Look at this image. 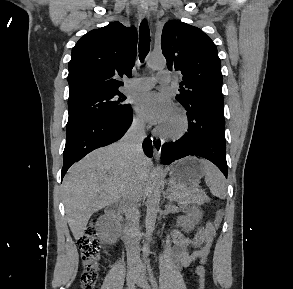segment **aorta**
Instances as JSON below:
<instances>
[{
	"label": "aorta",
	"instance_id": "obj_1",
	"mask_svg": "<svg viewBox=\"0 0 293 289\" xmlns=\"http://www.w3.org/2000/svg\"><path fill=\"white\" fill-rule=\"evenodd\" d=\"M147 66L151 69H160L166 66V61L163 57L150 56L147 60ZM163 177L158 171L156 173L153 183L149 189L148 198L146 201V234L143 251L148 252L149 242L151 240L152 232L155 227L157 212L159 210V202L161 197V190L163 187Z\"/></svg>",
	"mask_w": 293,
	"mask_h": 289
}]
</instances>
